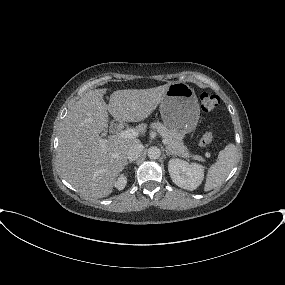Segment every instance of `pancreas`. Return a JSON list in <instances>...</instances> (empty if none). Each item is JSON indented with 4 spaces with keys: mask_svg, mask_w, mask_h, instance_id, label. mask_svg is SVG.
<instances>
[{
    "mask_svg": "<svg viewBox=\"0 0 285 285\" xmlns=\"http://www.w3.org/2000/svg\"><path fill=\"white\" fill-rule=\"evenodd\" d=\"M151 128L156 130L160 135H162L167 140V149L177 156L183 158L191 157L194 160L204 161L203 157L199 155H192L189 153L187 147L183 143V135L175 130L167 128L160 122H154L151 124Z\"/></svg>",
    "mask_w": 285,
    "mask_h": 285,
    "instance_id": "pancreas-1",
    "label": "pancreas"
}]
</instances>
